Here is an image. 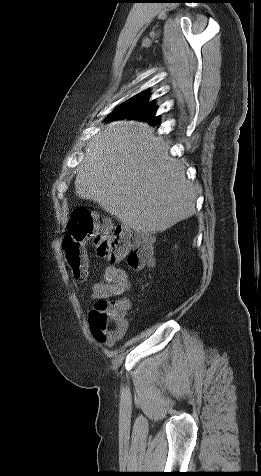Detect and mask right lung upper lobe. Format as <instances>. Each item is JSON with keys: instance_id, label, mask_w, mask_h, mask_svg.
I'll list each match as a JSON object with an SVG mask.
<instances>
[{"instance_id": "obj_1", "label": "right lung upper lobe", "mask_w": 261, "mask_h": 476, "mask_svg": "<svg viewBox=\"0 0 261 476\" xmlns=\"http://www.w3.org/2000/svg\"><path fill=\"white\" fill-rule=\"evenodd\" d=\"M148 100V95L144 92L138 93L137 95L131 97L125 102H147ZM124 102V103H125ZM151 124H156V123H151Z\"/></svg>"}]
</instances>
